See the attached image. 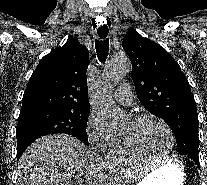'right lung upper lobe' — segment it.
Wrapping results in <instances>:
<instances>
[{
  "mask_svg": "<svg viewBox=\"0 0 207 185\" xmlns=\"http://www.w3.org/2000/svg\"><path fill=\"white\" fill-rule=\"evenodd\" d=\"M89 54L71 38L44 56L30 77L21 111L46 108L90 112L87 95Z\"/></svg>",
  "mask_w": 207,
  "mask_h": 185,
  "instance_id": "cb5924a9",
  "label": "right lung upper lobe"
}]
</instances>
